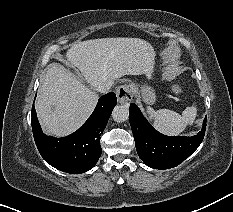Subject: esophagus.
I'll list each match as a JSON object with an SVG mask.
<instances>
[{
    "label": "esophagus",
    "instance_id": "obj_1",
    "mask_svg": "<svg viewBox=\"0 0 233 212\" xmlns=\"http://www.w3.org/2000/svg\"><path fill=\"white\" fill-rule=\"evenodd\" d=\"M116 96L118 99L119 103H125L128 102L132 99L133 97V90L132 88L125 84V85H121L117 88L116 91Z\"/></svg>",
    "mask_w": 233,
    "mask_h": 212
}]
</instances>
